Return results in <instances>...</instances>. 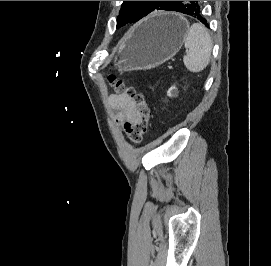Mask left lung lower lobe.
Listing matches in <instances>:
<instances>
[{
	"label": "left lung lower lobe",
	"instance_id": "obj_1",
	"mask_svg": "<svg viewBox=\"0 0 271 266\" xmlns=\"http://www.w3.org/2000/svg\"><path fill=\"white\" fill-rule=\"evenodd\" d=\"M169 11H177L191 15L208 27L206 18L201 14V7L198 1H176Z\"/></svg>",
	"mask_w": 271,
	"mask_h": 266
}]
</instances>
